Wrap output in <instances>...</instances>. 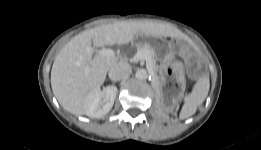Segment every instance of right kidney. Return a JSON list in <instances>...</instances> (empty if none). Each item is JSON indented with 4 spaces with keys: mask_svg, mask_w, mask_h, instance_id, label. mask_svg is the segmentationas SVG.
Masks as SVG:
<instances>
[{
    "mask_svg": "<svg viewBox=\"0 0 261 150\" xmlns=\"http://www.w3.org/2000/svg\"><path fill=\"white\" fill-rule=\"evenodd\" d=\"M117 92L115 86H107L103 90L96 89L88 100L86 115L91 118H101L106 115L113 107Z\"/></svg>",
    "mask_w": 261,
    "mask_h": 150,
    "instance_id": "1",
    "label": "right kidney"
}]
</instances>
